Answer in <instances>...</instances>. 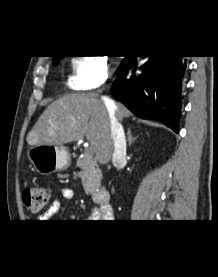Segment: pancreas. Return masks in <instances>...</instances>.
Listing matches in <instances>:
<instances>
[{
  "instance_id": "pancreas-1",
  "label": "pancreas",
  "mask_w": 218,
  "mask_h": 277,
  "mask_svg": "<svg viewBox=\"0 0 218 277\" xmlns=\"http://www.w3.org/2000/svg\"><path fill=\"white\" fill-rule=\"evenodd\" d=\"M76 166L81 169L79 175L82 179V185L86 194L94 193L99 188L102 177L101 170L96 161L92 156L85 154L77 160Z\"/></svg>"
}]
</instances>
